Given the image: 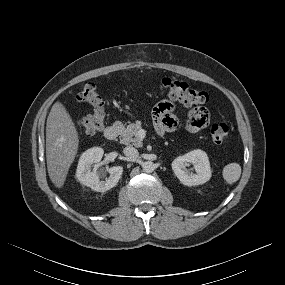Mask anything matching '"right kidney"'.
Instances as JSON below:
<instances>
[{
	"mask_svg": "<svg viewBox=\"0 0 285 285\" xmlns=\"http://www.w3.org/2000/svg\"><path fill=\"white\" fill-rule=\"evenodd\" d=\"M103 154L104 151L100 147H93L86 150L81 155L76 170V178L78 181L98 192H105L115 187L123 172L121 166L111 167L107 169L110 176L104 179V171H97L98 163L101 161Z\"/></svg>",
	"mask_w": 285,
	"mask_h": 285,
	"instance_id": "1",
	"label": "right kidney"
}]
</instances>
